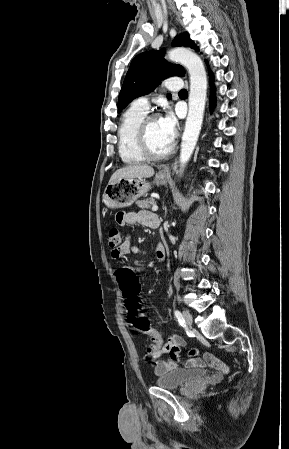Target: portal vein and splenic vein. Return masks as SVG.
<instances>
[{
	"label": "portal vein and splenic vein",
	"mask_w": 289,
	"mask_h": 449,
	"mask_svg": "<svg viewBox=\"0 0 289 449\" xmlns=\"http://www.w3.org/2000/svg\"><path fill=\"white\" fill-rule=\"evenodd\" d=\"M157 210H158V206L157 205H153L152 211H157Z\"/></svg>",
	"instance_id": "obj_1"
}]
</instances>
